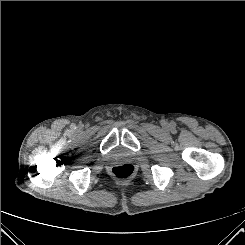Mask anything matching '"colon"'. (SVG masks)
<instances>
[{"label":"colon","instance_id":"obj_1","mask_svg":"<svg viewBox=\"0 0 245 245\" xmlns=\"http://www.w3.org/2000/svg\"><path fill=\"white\" fill-rule=\"evenodd\" d=\"M113 176L118 180H128L134 174V166L130 163H123L112 168Z\"/></svg>","mask_w":245,"mask_h":245}]
</instances>
